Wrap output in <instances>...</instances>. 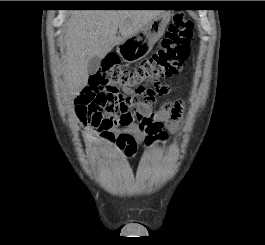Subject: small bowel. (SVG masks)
Instances as JSON below:
<instances>
[{
	"label": "small bowel",
	"instance_id": "small-bowel-1",
	"mask_svg": "<svg viewBox=\"0 0 265 245\" xmlns=\"http://www.w3.org/2000/svg\"><path fill=\"white\" fill-rule=\"evenodd\" d=\"M99 97L98 92L90 85L85 86L76 98V109L81 115H86L90 106ZM140 110L143 108L140 107ZM182 114V104L180 101H172L164 104L159 110L152 112L155 119L163 121L173 129ZM101 131L108 134L113 143L124 148L128 155H132L136 150V142L144 138V132L136 122L128 125H112L100 127ZM102 140L110 142L108 138L101 137Z\"/></svg>",
	"mask_w": 265,
	"mask_h": 245
}]
</instances>
